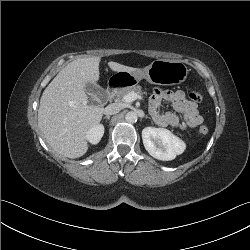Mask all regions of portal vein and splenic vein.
Instances as JSON below:
<instances>
[{
    "mask_svg": "<svg viewBox=\"0 0 250 250\" xmlns=\"http://www.w3.org/2000/svg\"><path fill=\"white\" fill-rule=\"evenodd\" d=\"M124 102L131 103L137 99L143 100V97L137 93L131 92L124 96Z\"/></svg>",
    "mask_w": 250,
    "mask_h": 250,
    "instance_id": "1",
    "label": "portal vein and splenic vein"
}]
</instances>
